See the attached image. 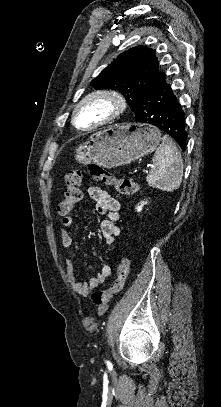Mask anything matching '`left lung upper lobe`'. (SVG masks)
I'll return each instance as SVG.
<instances>
[{"label":"left lung upper lobe","instance_id":"left-lung-upper-lobe-1","mask_svg":"<svg viewBox=\"0 0 221 407\" xmlns=\"http://www.w3.org/2000/svg\"><path fill=\"white\" fill-rule=\"evenodd\" d=\"M162 75L155 52L146 46H137L118 55L91 85L96 89L118 90L135 113L142 90Z\"/></svg>","mask_w":221,"mask_h":407}]
</instances>
